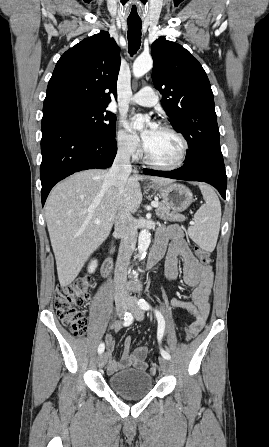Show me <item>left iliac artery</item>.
<instances>
[{"label":"left iliac artery","instance_id":"obj_1","mask_svg":"<svg viewBox=\"0 0 269 447\" xmlns=\"http://www.w3.org/2000/svg\"><path fill=\"white\" fill-rule=\"evenodd\" d=\"M138 305L143 309V310H149L151 308V306L149 305V303L147 301H145L143 298H141L138 301ZM155 315L157 317V321H158V330H157V338H158V342H161V339L163 337L164 334V330H165V320L163 315L155 310ZM161 355L165 358V359H171V356L168 352L164 351L163 349L160 350Z\"/></svg>","mask_w":269,"mask_h":447}]
</instances>
